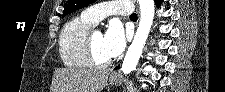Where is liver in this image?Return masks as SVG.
Returning <instances> with one entry per match:
<instances>
[{
  "mask_svg": "<svg viewBox=\"0 0 225 92\" xmlns=\"http://www.w3.org/2000/svg\"><path fill=\"white\" fill-rule=\"evenodd\" d=\"M109 70L58 68L55 70L51 92H101L107 85Z\"/></svg>",
  "mask_w": 225,
  "mask_h": 92,
  "instance_id": "obj_1",
  "label": "liver"
}]
</instances>
